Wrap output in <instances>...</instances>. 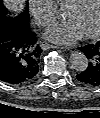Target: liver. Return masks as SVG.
<instances>
[{
  "label": "liver",
  "mask_w": 100,
  "mask_h": 118,
  "mask_svg": "<svg viewBox=\"0 0 100 118\" xmlns=\"http://www.w3.org/2000/svg\"><path fill=\"white\" fill-rule=\"evenodd\" d=\"M6 6L12 12H19L22 10L25 0H5Z\"/></svg>",
  "instance_id": "6515ba94"
}]
</instances>
